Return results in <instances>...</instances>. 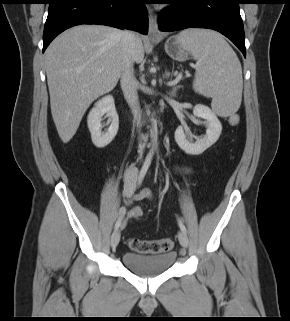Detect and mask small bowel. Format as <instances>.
Masks as SVG:
<instances>
[{
  "label": "small bowel",
  "instance_id": "obj_1",
  "mask_svg": "<svg viewBox=\"0 0 290 321\" xmlns=\"http://www.w3.org/2000/svg\"><path fill=\"white\" fill-rule=\"evenodd\" d=\"M125 197H126L125 204L130 205L135 200L151 198L152 193L147 189H143L138 194L133 195V192L129 191V189L125 187ZM124 214H125V208H122L120 210V215L123 216Z\"/></svg>",
  "mask_w": 290,
  "mask_h": 321
}]
</instances>
